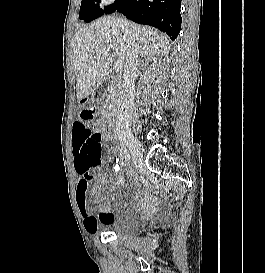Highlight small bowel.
Listing matches in <instances>:
<instances>
[{
	"label": "small bowel",
	"mask_w": 265,
	"mask_h": 273,
	"mask_svg": "<svg viewBox=\"0 0 265 273\" xmlns=\"http://www.w3.org/2000/svg\"><path fill=\"white\" fill-rule=\"evenodd\" d=\"M91 105L83 100L79 104L78 120L73 125L72 142H73V156H74V169L77 174V191L76 201L79 211L84 220V227L90 234H96L101 227L111 222L114 219L113 214L110 212L107 204L103 201L99 187L107 184L108 178L99 176L98 174H91V171L84 173L79 168V152L76 150V129H89L91 119L94 118ZM123 171L127 170V163H122ZM90 179L96 181L95 186L89 187ZM122 177H117L113 180L114 184H120ZM142 200H137L135 206H140Z\"/></svg>",
	"instance_id": "obj_1"
}]
</instances>
